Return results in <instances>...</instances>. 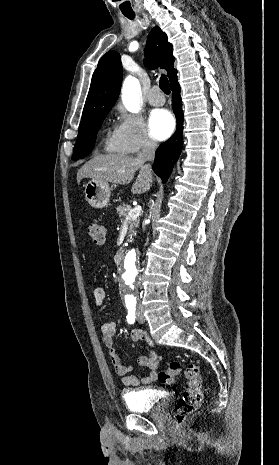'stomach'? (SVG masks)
<instances>
[{"label": "stomach", "mask_w": 279, "mask_h": 465, "mask_svg": "<svg viewBox=\"0 0 279 465\" xmlns=\"http://www.w3.org/2000/svg\"><path fill=\"white\" fill-rule=\"evenodd\" d=\"M85 198L87 202L96 209L107 206L110 199V187L107 182L90 180L85 185Z\"/></svg>", "instance_id": "0dacf381"}]
</instances>
